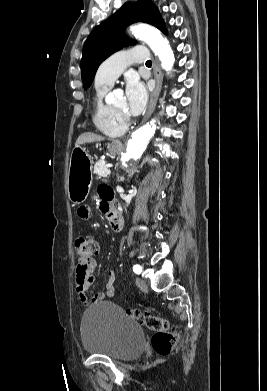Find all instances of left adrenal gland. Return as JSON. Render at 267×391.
Returning a JSON list of instances; mask_svg holds the SVG:
<instances>
[{
	"mask_svg": "<svg viewBox=\"0 0 267 391\" xmlns=\"http://www.w3.org/2000/svg\"><path fill=\"white\" fill-rule=\"evenodd\" d=\"M120 181H124V178H123V177H121V178H120Z\"/></svg>",
	"mask_w": 267,
	"mask_h": 391,
	"instance_id": "1",
	"label": "left adrenal gland"
}]
</instances>
